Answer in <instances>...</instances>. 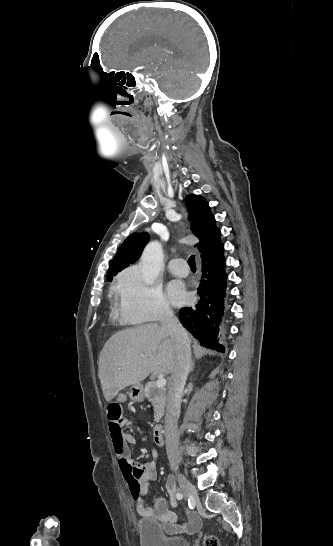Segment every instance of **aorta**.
<instances>
[{
  "instance_id": "762f6f07",
  "label": "aorta",
  "mask_w": 333,
  "mask_h": 546,
  "mask_svg": "<svg viewBox=\"0 0 333 546\" xmlns=\"http://www.w3.org/2000/svg\"><path fill=\"white\" fill-rule=\"evenodd\" d=\"M162 266H163L162 245L157 241L150 242L145 247L141 256V261H140V269H141L143 281L147 285L154 284L156 279L159 276Z\"/></svg>"
}]
</instances>
